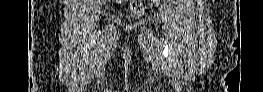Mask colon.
Wrapping results in <instances>:
<instances>
[{
    "mask_svg": "<svg viewBox=\"0 0 263 92\" xmlns=\"http://www.w3.org/2000/svg\"><path fill=\"white\" fill-rule=\"evenodd\" d=\"M129 6H130V17L140 16L144 11L142 0H130Z\"/></svg>",
    "mask_w": 263,
    "mask_h": 92,
    "instance_id": "colon-1",
    "label": "colon"
}]
</instances>
